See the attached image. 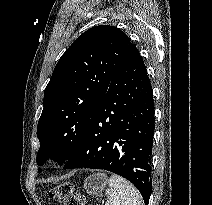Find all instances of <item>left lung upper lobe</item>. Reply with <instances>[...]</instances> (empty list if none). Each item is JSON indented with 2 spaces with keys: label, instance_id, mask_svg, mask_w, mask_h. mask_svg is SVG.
I'll list each match as a JSON object with an SVG mask.
<instances>
[{
  "label": "left lung upper lobe",
  "instance_id": "left-lung-upper-lobe-1",
  "mask_svg": "<svg viewBox=\"0 0 212 205\" xmlns=\"http://www.w3.org/2000/svg\"><path fill=\"white\" fill-rule=\"evenodd\" d=\"M130 45V38L120 29L96 26L81 34L61 56L45 88L37 127L38 165L49 157L62 165L74 155Z\"/></svg>",
  "mask_w": 212,
  "mask_h": 205
}]
</instances>
